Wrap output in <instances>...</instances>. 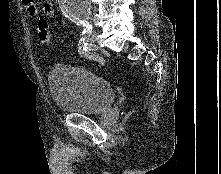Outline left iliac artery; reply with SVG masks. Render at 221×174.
Listing matches in <instances>:
<instances>
[{"mask_svg": "<svg viewBox=\"0 0 221 174\" xmlns=\"http://www.w3.org/2000/svg\"><path fill=\"white\" fill-rule=\"evenodd\" d=\"M78 25H81L84 28L82 38L80 39V41L78 43V52L80 53V55L82 57L97 61L101 66H105V64H106L105 59L98 54L88 51L87 47H86L85 39H86L87 35L90 32H92V24H91L90 20L82 19L78 22Z\"/></svg>", "mask_w": 221, "mask_h": 174, "instance_id": "obj_1", "label": "left iliac artery"}]
</instances>
